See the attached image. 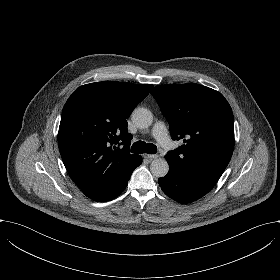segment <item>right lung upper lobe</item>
<instances>
[{"instance_id": "right-lung-upper-lobe-1", "label": "right lung upper lobe", "mask_w": 280, "mask_h": 280, "mask_svg": "<svg viewBox=\"0 0 280 280\" xmlns=\"http://www.w3.org/2000/svg\"><path fill=\"white\" fill-rule=\"evenodd\" d=\"M153 85L95 82L80 86L61 115L58 146L75 184L89 198L105 202L142 157L130 154L127 121ZM123 145V148L114 145Z\"/></svg>"}]
</instances>
